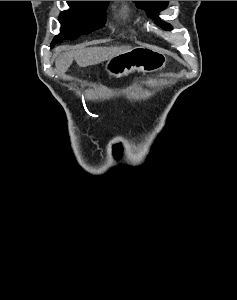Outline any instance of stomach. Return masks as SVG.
I'll return each mask as SVG.
<instances>
[{"label":"stomach","instance_id":"1","mask_svg":"<svg viewBox=\"0 0 237 300\" xmlns=\"http://www.w3.org/2000/svg\"><path fill=\"white\" fill-rule=\"evenodd\" d=\"M167 63V57L156 49V47H134L127 53L116 55L109 59L105 65V71L111 77H124L132 71H141V73H154L164 69Z\"/></svg>","mask_w":237,"mask_h":300}]
</instances>
